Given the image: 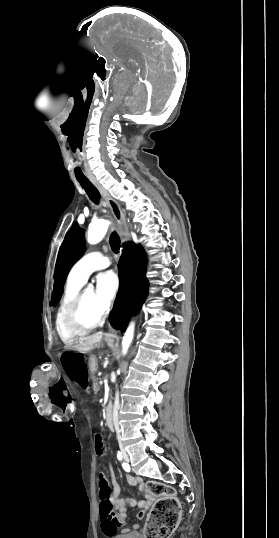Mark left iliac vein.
Here are the masks:
<instances>
[{"label":"left iliac vein","instance_id":"4c4485c4","mask_svg":"<svg viewBox=\"0 0 279 538\" xmlns=\"http://www.w3.org/2000/svg\"><path fill=\"white\" fill-rule=\"evenodd\" d=\"M124 458H125L126 462H129V459H128L127 455H125Z\"/></svg>","mask_w":279,"mask_h":538}]
</instances>
